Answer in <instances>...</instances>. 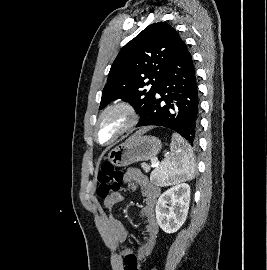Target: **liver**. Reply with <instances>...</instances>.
<instances>
[{
	"label": "liver",
	"instance_id": "1",
	"mask_svg": "<svg viewBox=\"0 0 267 270\" xmlns=\"http://www.w3.org/2000/svg\"><path fill=\"white\" fill-rule=\"evenodd\" d=\"M150 128H143L141 130H139L138 132L135 133V135L132 137H138V136H141L142 134H144L145 132H147Z\"/></svg>",
	"mask_w": 267,
	"mask_h": 270
}]
</instances>
